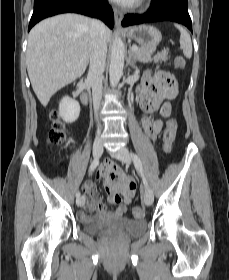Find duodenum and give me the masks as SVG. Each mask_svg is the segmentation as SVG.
Masks as SVG:
<instances>
[{
  "instance_id": "duodenum-1",
  "label": "duodenum",
  "mask_w": 229,
  "mask_h": 280,
  "mask_svg": "<svg viewBox=\"0 0 229 280\" xmlns=\"http://www.w3.org/2000/svg\"><path fill=\"white\" fill-rule=\"evenodd\" d=\"M78 92H79V96H80L81 101L84 104H87L88 101H89V94L87 92V88L83 86L78 90Z\"/></svg>"
}]
</instances>
